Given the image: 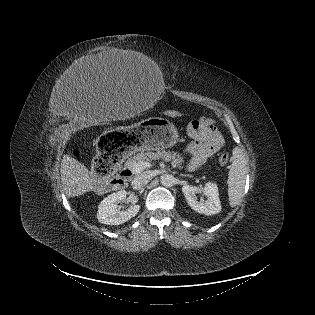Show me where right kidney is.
I'll return each instance as SVG.
<instances>
[{"mask_svg":"<svg viewBox=\"0 0 315 315\" xmlns=\"http://www.w3.org/2000/svg\"><path fill=\"white\" fill-rule=\"evenodd\" d=\"M125 190L112 193L104 198L98 207L97 219L106 225H120L134 217L140 209V205H134L126 211H119L116 203L126 199Z\"/></svg>","mask_w":315,"mask_h":315,"instance_id":"1","label":"right kidney"}]
</instances>
